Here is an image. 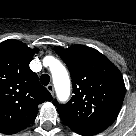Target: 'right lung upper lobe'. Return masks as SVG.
I'll return each instance as SVG.
<instances>
[{
	"instance_id": "1",
	"label": "right lung upper lobe",
	"mask_w": 136,
	"mask_h": 136,
	"mask_svg": "<svg viewBox=\"0 0 136 136\" xmlns=\"http://www.w3.org/2000/svg\"><path fill=\"white\" fill-rule=\"evenodd\" d=\"M37 48L9 39L0 43V132L15 134L36 118L38 105L51 101L50 92L39 83L29 63Z\"/></svg>"
}]
</instances>
